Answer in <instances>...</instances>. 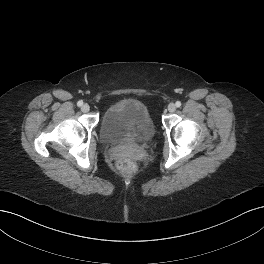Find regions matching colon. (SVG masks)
<instances>
[{
    "instance_id": "5ec220e1",
    "label": "colon",
    "mask_w": 264,
    "mask_h": 264,
    "mask_svg": "<svg viewBox=\"0 0 264 264\" xmlns=\"http://www.w3.org/2000/svg\"><path fill=\"white\" fill-rule=\"evenodd\" d=\"M117 167L123 174L126 175H131L136 171L135 164L127 159L120 160Z\"/></svg>"
}]
</instances>
